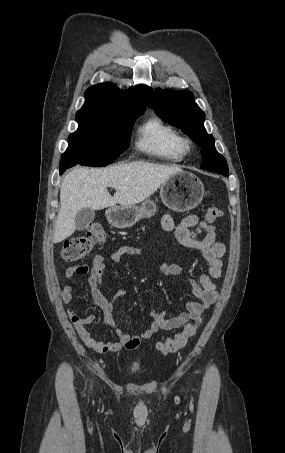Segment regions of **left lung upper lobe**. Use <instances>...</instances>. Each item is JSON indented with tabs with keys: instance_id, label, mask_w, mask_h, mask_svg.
I'll return each mask as SVG.
<instances>
[{
	"instance_id": "obj_1",
	"label": "left lung upper lobe",
	"mask_w": 285,
	"mask_h": 453,
	"mask_svg": "<svg viewBox=\"0 0 285 453\" xmlns=\"http://www.w3.org/2000/svg\"><path fill=\"white\" fill-rule=\"evenodd\" d=\"M149 105L163 121L182 129L201 147L202 169L228 176L227 161L215 149L213 136L207 134L205 113L194 102L191 92L156 89Z\"/></svg>"
}]
</instances>
